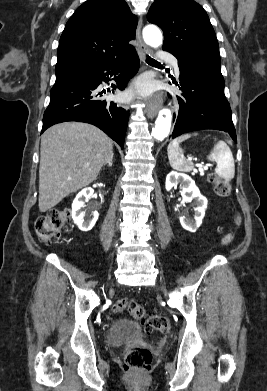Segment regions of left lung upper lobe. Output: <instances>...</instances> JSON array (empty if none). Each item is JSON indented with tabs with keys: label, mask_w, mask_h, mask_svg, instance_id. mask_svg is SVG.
<instances>
[{
	"label": "left lung upper lobe",
	"mask_w": 267,
	"mask_h": 391,
	"mask_svg": "<svg viewBox=\"0 0 267 391\" xmlns=\"http://www.w3.org/2000/svg\"><path fill=\"white\" fill-rule=\"evenodd\" d=\"M164 32L163 50L183 62L221 71L218 41L205 10L193 0H155L147 15Z\"/></svg>",
	"instance_id": "obj_1"
}]
</instances>
